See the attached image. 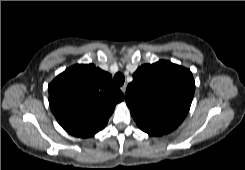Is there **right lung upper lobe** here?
Masks as SVG:
<instances>
[{
  "label": "right lung upper lobe",
  "mask_w": 245,
  "mask_h": 170,
  "mask_svg": "<svg viewBox=\"0 0 245 170\" xmlns=\"http://www.w3.org/2000/svg\"><path fill=\"white\" fill-rule=\"evenodd\" d=\"M49 105L58 123L76 137L102 130L124 95L112 76L94 64H78L59 74L48 86Z\"/></svg>",
  "instance_id": "1"
}]
</instances>
